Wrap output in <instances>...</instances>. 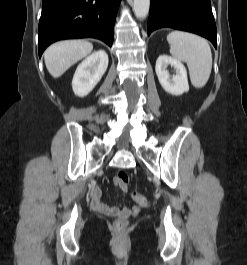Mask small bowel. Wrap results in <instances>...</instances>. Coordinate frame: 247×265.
<instances>
[{"label": "small bowel", "instance_id": "1", "mask_svg": "<svg viewBox=\"0 0 247 265\" xmlns=\"http://www.w3.org/2000/svg\"><path fill=\"white\" fill-rule=\"evenodd\" d=\"M91 208L99 213L105 214L107 216H116L120 219H126L130 215H138L140 209L138 206L127 207V206H109L101 201V192L98 188L92 191L91 195Z\"/></svg>", "mask_w": 247, "mask_h": 265}]
</instances>
